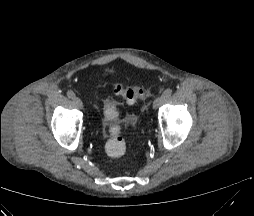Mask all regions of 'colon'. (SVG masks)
Returning <instances> with one entry per match:
<instances>
[{"label": "colon", "mask_w": 254, "mask_h": 216, "mask_svg": "<svg viewBox=\"0 0 254 216\" xmlns=\"http://www.w3.org/2000/svg\"><path fill=\"white\" fill-rule=\"evenodd\" d=\"M113 91L116 96L120 97L128 104H134L146 94L145 89L142 87L123 86L121 84H116ZM105 117L108 121L106 131L109 135V139L105 145V151L110 157L119 158L126 152V142L123 137L122 127L118 122L116 106L111 102L107 103Z\"/></svg>", "instance_id": "colon-1"}]
</instances>
